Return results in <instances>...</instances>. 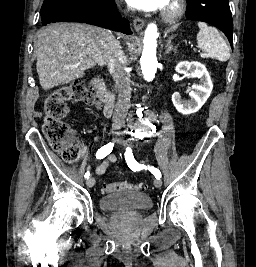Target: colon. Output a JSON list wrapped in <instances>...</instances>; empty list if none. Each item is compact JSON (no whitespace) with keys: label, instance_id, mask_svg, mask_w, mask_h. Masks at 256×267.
I'll list each match as a JSON object with an SVG mask.
<instances>
[{"label":"colon","instance_id":"1","mask_svg":"<svg viewBox=\"0 0 256 267\" xmlns=\"http://www.w3.org/2000/svg\"><path fill=\"white\" fill-rule=\"evenodd\" d=\"M69 103L93 104V93L81 81H73L52 91L45 99L43 126L45 137L67 163L76 161L81 154L80 147L73 143L72 134L64 121L69 113ZM144 188V185L132 182H110L105 183L102 190L108 194L143 191Z\"/></svg>","mask_w":256,"mask_h":267}]
</instances>
